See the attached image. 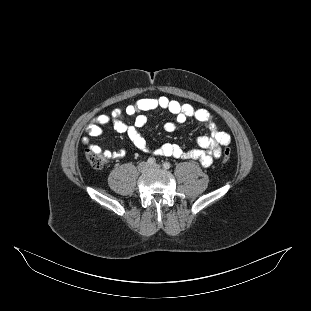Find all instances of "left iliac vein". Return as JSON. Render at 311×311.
Wrapping results in <instances>:
<instances>
[{
  "instance_id": "1",
  "label": "left iliac vein",
  "mask_w": 311,
  "mask_h": 311,
  "mask_svg": "<svg viewBox=\"0 0 311 311\" xmlns=\"http://www.w3.org/2000/svg\"><path fill=\"white\" fill-rule=\"evenodd\" d=\"M161 166L159 164H155L150 166L151 169H159Z\"/></svg>"
}]
</instances>
